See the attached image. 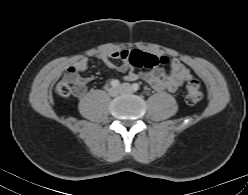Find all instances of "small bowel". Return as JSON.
<instances>
[{"instance_id": "small-bowel-1", "label": "small bowel", "mask_w": 248, "mask_h": 195, "mask_svg": "<svg viewBox=\"0 0 248 195\" xmlns=\"http://www.w3.org/2000/svg\"><path fill=\"white\" fill-rule=\"evenodd\" d=\"M126 51H116L112 54H99L95 58L106 64L108 67L124 73V78L128 81L142 79L157 91L168 90L176 92L184 83L192 79V74L180 60L171 59L169 62V70L165 67H158L152 71L136 73L130 68V65L125 60ZM89 58L85 57L74 63L67 71L70 73H82L87 69ZM91 77H84L83 82H88Z\"/></svg>"}]
</instances>
